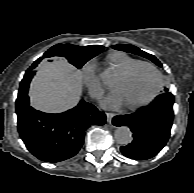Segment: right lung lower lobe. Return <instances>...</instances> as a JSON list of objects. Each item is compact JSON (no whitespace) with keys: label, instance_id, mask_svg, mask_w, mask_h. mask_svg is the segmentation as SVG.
<instances>
[{"label":"right lung lower lobe","instance_id":"1","mask_svg":"<svg viewBox=\"0 0 194 193\" xmlns=\"http://www.w3.org/2000/svg\"><path fill=\"white\" fill-rule=\"evenodd\" d=\"M27 93L16 100L18 131L27 149L42 161L56 163L73 157L82 147L87 128L106 122V115L84 100L59 114L37 111L29 105Z\"/></svg>","mask_w":194,"mask_h":193}]
</instances>
